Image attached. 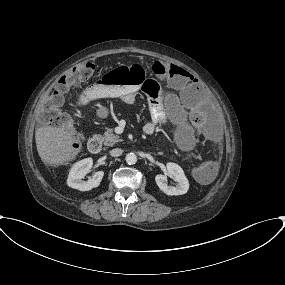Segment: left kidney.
Masks as SVG:
<instances>
[{
	"mask_svg": "<svg viewBox=\"0 0 285 285\" xmlns=\"http://www.w3.org/2000/svg\"><path fill=\"white\" fill-rule=\"evenodd\" d=\"M167 172L173 176L177 182V186H168L166 183V177L162 174H158L155 177V181L165 194L167 195H183L187 193L189 189V182L186 178L183 169L175 163H167Z\"/></svg>",
	"mask_w": 285,
	"mask_h": 285,
	"instance_id": "1",
	"label": "left kidney"
}]
</instances>
